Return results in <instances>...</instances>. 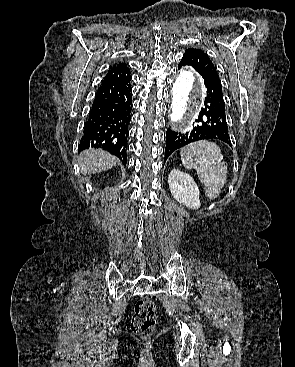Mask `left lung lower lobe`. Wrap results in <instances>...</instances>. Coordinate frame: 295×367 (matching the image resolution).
<instances>
[{
	"label": "left lung lower lobe",
	"instance_id": "left-lung-lower-lobe-1",
	"mask_svg": "<svg viewBox=\"0 0 295 367\" xmlns=\"http://www.w3.org/2000/svg\"><path fill=\"white\" fill-rule=\"evenodd\" d=\"M186 65L192 66L203 77L207 95L204 107L196 120L198 124L191 131L182 134L171 129L167 130L164 162L175 150L198 140L217 139L231 146L219 76L215 72L193 66L186 59H181L178 69Z\"/></svg>",
	"mask_w": 295,
	"mask_h": 367
}]
</instances>
